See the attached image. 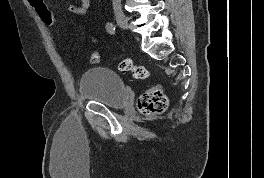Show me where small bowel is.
I'll return each instance as SVG.
<instances>
[{"label":"small bowel","instance_id":"small-bowel-1","mask_svg":"<svg viewBox=\"0 0 264 178\" xmlns=\"http://www.w3.org/2000/svg\"><path fill=\"white\" fill-rule=\"evenodd\" d=\"M89 6L90 0H79L78 3L69 6L67 11L70 14L84 16L87 14Z\"/></svg>","mask_w":264,"mask_h":178}]
</instances>
